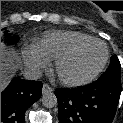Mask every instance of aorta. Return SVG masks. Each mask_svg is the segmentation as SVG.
<instances>
[{"label": "aorta", "instance_id": "aorta-1", "mask_svg": "<svg viewBox=\"0 0 123 123\" xmlns=\"http://www.w3.org/2000/svg\"><path fill=\"white\" fill-rule=\"evenodd\" d=\"M42 104L46 108H53L57 105V97L52 92H45L42 95Z\"/></svg>", "mask_w": 123, "mask_h": 123}]
</instances>
